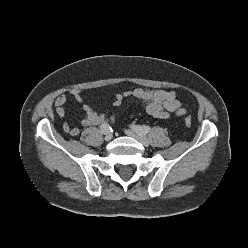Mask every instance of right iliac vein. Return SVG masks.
<instances>
[{
	"label": "right iliac vein",
	"instance_id": "right-iliac-vein-1",
	"mask_svg": "<svg viewBox=\"0 0 248 248\" xmlns=\"http://www.w3.org/2000/svg\"><path fill=\"white\" fill-rule=\"evenodd\" d=\"M112 137H113L112 134L108 133V134L105 135V140L110 141L112 139Z\"/></svg>",
	"mask_w": 248,
	"mask_h": 248
}]
</instances>
